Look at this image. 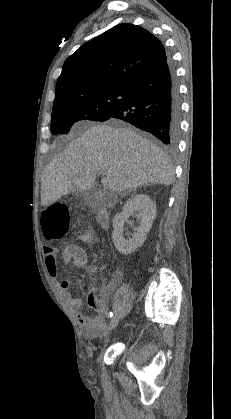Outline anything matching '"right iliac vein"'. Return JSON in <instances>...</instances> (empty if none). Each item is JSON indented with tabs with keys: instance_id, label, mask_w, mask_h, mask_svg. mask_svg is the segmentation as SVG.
Here are the masks:
<instances>
[{
	"instance_id": "63e3f726",
	"label": "right iliac vein",
	"mask_w": 231,
	"mask_h": 419,
	"mask_svg": "<svg viewBox=\"0 0 231 419\" xmlns=\"http://www.w3.org/2000/svg\"><path fill=\"white\" fill-rule=\"evenodd\" d=\"M118 322H119V317L114 316L109 323L108 330L112 331L113 329H115L116 326L118 325Z\"/></svg>"
}]
</instances>
